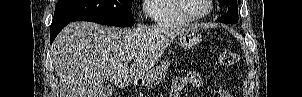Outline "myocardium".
Segmentation results:
<instances>
[{
	"label": "myocardium",
	"mask_w": 302,
	"mask_h": 97,
	"mask_svg": "<svg viewBox=\"0 0 302 97\" xmlns=\"http://www.w3.org/2000/svg\"><path fill=\"white\" fill-rule=\"evenodd\" d=\"M212 2H213L212 0H206L207 8L204 13H202L200 15H191L185 11L182 0H175L177 10L185 19H187L189 21H199V20L207 17L212 11V8H213Z\"/></svg>",
	"instance_id": "obj_1"
}]
</instances>
